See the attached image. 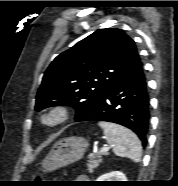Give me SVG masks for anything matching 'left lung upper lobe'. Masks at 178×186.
I'll return each instance as SVG.
<instances>
[{
	"instance_id": "left-lung-upper-lobe-1",
	"label": "left lung upper lobe",
	"mask_w": 178,
	"mask_h": 186,
	"mask_svg": "<svg viewBox=\"0 0 178 186\" xmlns=\"http://www.w3.org/2000/svg\"><path fill=\"white\" fill-rule=\"evenodd\" d=\"M141 64L135 42L123 31L96 30L53 60L44 73L35 110L70 105L78 118L97 105L117 80Z\"/></svg>"
}]
</instances>
